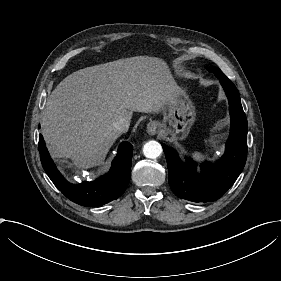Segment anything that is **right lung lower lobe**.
Returning a JSON list of instances; mask_svg holds the SVG:
<instances>
[{
    "instance_id": "98d812e1",
    "label": "right lung lower lobe",
    "mask_w": 281,
    "mask_h": 281,
    "mask_svg": "<svg viewBox=\"0 0 281 281\" xmlns=\"http://www.w3.org/2000/svg\"><path fill=\"white\" fill-rule=\"evenodd\" d=\"M132 152L130 143H121L108 174L96 181L75 185L68 182L58 171L50 158L43 136L39 135V153L45 172L69 200L82 206H101L122 195L130 180Z\"/></svg>"
}]
</instances>
